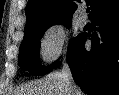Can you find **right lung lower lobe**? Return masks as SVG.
<instances>
[{"label": "right lung lower lobe", "mask_w": 119, "mask_h": 95, "mask_svg": "<svg viewBox=\"0 0 119 95\" xmlns=\"http://www.w3.org/2000/svg\"><path fill=\"white\" fill-rule=\"evenodd\" d=\"M92 24L91 36L79 34L68 47V64L74 81L86 94L115 95L119 90V8L97 17ZM87 39L92 40L90 50L84 47Z\"/></svg>", "instance_id": "98d812e1"}]
</instances>
